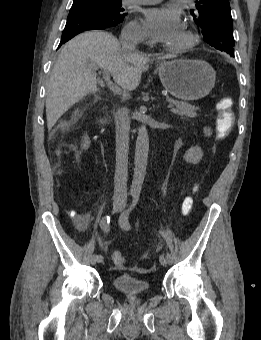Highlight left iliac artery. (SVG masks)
Instances as JSON below:
<instances>
[{"label": "left iliac artery", "mask_w": 261, "mask_h": 340, "mask_svg": "<svg viewBox=\"0 0 261 340\" xmlns=\"http://www.w3.org/2000/svg\"><path fill=\"white\" fill-rule=\"evenodd\" d=\"M138 200H139V193L136 192L133 194V201L130 205V207L123 213L121 214L120 216V219H119V222H120V225L126 229V230H129L131 229V225L129 223V214L130 212L136 207L137 203H138ZM163 247H164V254H165V257L167 259V261L169 263L173 262L174 260V257L173 255L165 248L164 246V243H163Z\"/></svg>", "instance_id": "1"}]
</instances>
